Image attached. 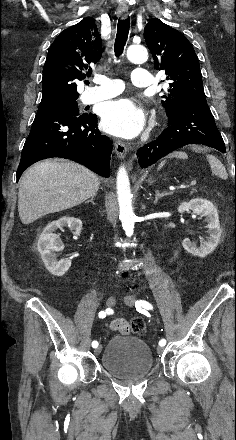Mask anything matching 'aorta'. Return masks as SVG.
<instances>
[{
    "mask_svg": "<svg viewBox=\"0 0 236 440\" xmlns=\"http://www.w3.org/2000/svg\"><path fill=\"white\" fill-rule=\"evenodd\" d=\"M127 59L135 64L144 63L148 59L147 49L142 45H131L126 51ZM119 203V219L127 236L133 235L136 216L132 209V194L129 177L124 166H121L116 179Z\"/></svg>",
    "mask_w": 236,
    "mask_h": 440,
    "instance_id": "1",
    "label": "aorta"
}]
</instances>
